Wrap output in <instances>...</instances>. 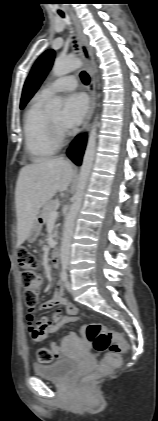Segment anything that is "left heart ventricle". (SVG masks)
<instances>
[{
    "mask_svg": "<svg viewBox=\"0 0 158 421\" xmlns=\"http://www.w3.org/2000/svg\"><path fill=\"white\" fill-rule=\"evenodd\" d=\"M50 116H51V118L54 122H56L58 125L61 126V124H60L61 113L60 112L53 113Z\"/></svg>",
    "mask_w": 158,
    "mask_h": 421,
    "instance_id": "left-heart-ventricle-1",
    "label": "left heart ventricle"
}]
</instances>
